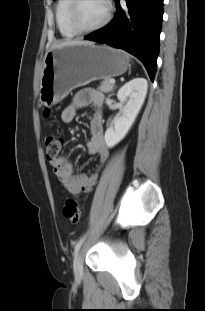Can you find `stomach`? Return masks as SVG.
Instances as JSON below:
<instances>
[{
	"mask_svg": "<svg viewBox=\"0 0 205 311\" xmlns=\"http://www.w3.org/2000/svg\"><path fill=\"white\" fill-rule=\"evenodd\" d=\"M128 66V55L108 46L73 44L53 48L44 58L39 101L45 106L55 105L73 89L122 75Z\"/></svg>",
	"mask_w": 205,
	"mask_h": 311,
	"instance_id": "1",
	"label": "stomach"
}]
</instances>
